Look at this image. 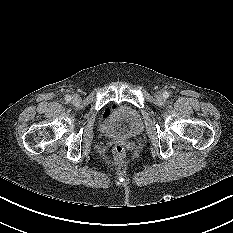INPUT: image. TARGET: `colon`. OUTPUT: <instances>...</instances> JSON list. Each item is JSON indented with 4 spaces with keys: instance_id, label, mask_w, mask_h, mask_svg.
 Segmentation results:
<instances>
[{
    "instance_id": "5ec220e1",
    "label": "colon",
    "mask_w": 233,
    "mask_h": 233,
    "mask_svg": "<svg viewBox=\"0 0 233 233\" xmlns=\"http://www.w3.org/2000/svg\"><path fill=\"white\" fill-rule=\"evenodd\" d=\"M112 155L115 162H122L126 156L124 146L121 144H116L112 149Z\"/></svg>"
}]
</instances>
